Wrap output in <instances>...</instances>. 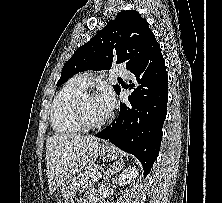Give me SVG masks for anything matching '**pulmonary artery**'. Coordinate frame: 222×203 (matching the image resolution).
Listing matches in <instances>:
<instances>
[{"label":"pulmonary artery","instance_id":"pulmonary-artery-1","mask_svg":"<svg viewBox=\"0 0 222 203\" xmlns=\"http://www.w3.org/2000/svg\"><path fill=\"white\" fill-rule=\"evenodd\" d=\"M114 73L117 76L124 78H128L130 75L129 71L124 67H117L116 69H114ZM73 80L83 88L87 89L92 85L93 81L96 80V78L92 72H83L76 75Z\"/></svg>","mask_w":222,"mask_h":203}]
</instances>
